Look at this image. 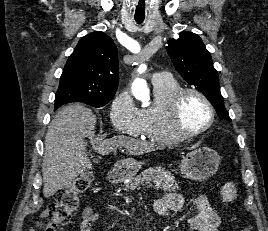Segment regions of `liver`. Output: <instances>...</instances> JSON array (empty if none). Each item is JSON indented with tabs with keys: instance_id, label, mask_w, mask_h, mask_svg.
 Listing matches in <instances>:
<instances>
[{
	"instance_id": "obj_1",
	"label": "liver",
	"mask_w": 268,
	"mask_h": 231,
	"mask_svg": "<svg viewBox=\"0 0 268 231\" xmlns=\"http://www.w3.org/2000/svg\"><path fill=\"white\" fill-rule=\"evenodd\" d=\"M96 116L81 104H70L60 109L48 126L42 162L43 194L53 196L61 188L70 185L75 178L92 169L86 153L87 141L102 155L125 147L130 155L151 152L153 144L126 136L101 140L95 136Z\"/></svg>"
}]
</instances>
